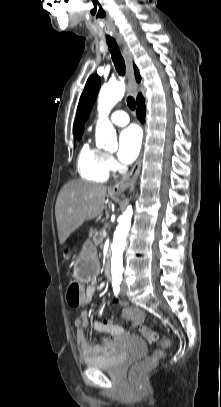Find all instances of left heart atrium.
Returning <instances> with one entry per match:
<instances>
[{"label": "left heart atrium", "instance_id": "1", "mask_svg": "<svg viewBox=\"0 0 221 407\" xmlns=\"http://www.w3.org/2000/svg\"><path fill=\"white\" fill-rule=\"evenodd\" d=\"M141 133L135 126L124 129L119 136L118 158L124 164L132 163L139 154Z\"/></svg>", "mask_w": 221, "mask_h": 407}]
</instances>
